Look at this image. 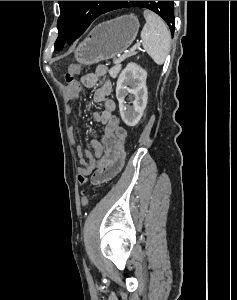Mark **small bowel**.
I'll return each mask as SVG.
<instances>
[{
  "label": "small bowel",
  "mask_w": 237,
  "mask_h": 300,
  "mask_svg": "<svg viewBox=\"0 0 237 300\" xmlns=\"http://www.w3.org/2000/svg\"><path fill=\"white\" fill-rule=\"evenodd\" d=\"M108 66L100 64L96 69L82 76V84L91 88L100 83L93 95V101L102 105L100 112L93 111L92 117L95 121L105 127L102 142L92 140L93 152L82 147L76 148L80 159V173L92 174V183L101 184L113 179L123 168L125 162V141L127 131L114 114L116 104L107 97L112 92V82L106 78ZM80 85L77 87L66 86L65 94L69 100L74 101L79 98ZM71 111L69 110L68 113Z\"/></svg>",
  "instance_id": "1"
}]
</instances>
